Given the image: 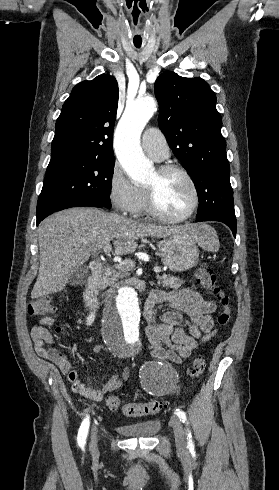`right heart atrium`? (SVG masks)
I'll list each match as a JSON object with an SVG mask.
<instances>
[{"label":"right heart atrium","mask_w":279,"mask_h":490,"mask_svg":"<svg viewBox=\"0 0 279 490\" xmlns=\"http://www.w3.org/2000/svg\"><path fill=\"white\" fill-rule=\"evenodd\" d=\"M109 200L114 209L125 216H138L145 208L144 190L133 184L115 161L108 175Z\"/></svg>","instance_id":"right-heart-atrium-1"}]
</instances>
